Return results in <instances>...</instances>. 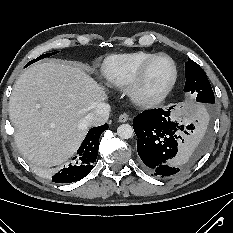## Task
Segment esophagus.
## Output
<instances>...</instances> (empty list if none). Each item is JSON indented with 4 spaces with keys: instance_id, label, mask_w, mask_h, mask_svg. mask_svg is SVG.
I'll return each instance as SVG.
<instances>
[{
    "instance_id": "34e87169",
    "label": "esophagus",
    "mask_w": 233,
    "mask_h": 233,
    "mask_svg": "<svg viewBox=\"0 0 233 233\" xmlns=\"http://www.w3.org/2000/svg\"><path fill=\"white\" fill-rule=\"evenodd\" d=\"M129 115L127 113H122L119 118L118 121L121 123L127 122L129 120Z\"/></svg>"
}]
</instances>
